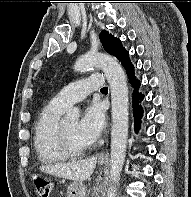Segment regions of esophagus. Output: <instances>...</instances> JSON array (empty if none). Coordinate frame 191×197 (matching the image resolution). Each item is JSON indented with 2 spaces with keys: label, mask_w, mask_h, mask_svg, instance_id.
Listing matches in <instances>:
<instances>
[{
  "label": "esophagus",
  "mask_w": 191,
  "mask_h": 197,
  "mask_svg": "<svg viewBox=\"0 0 191 197\" xmlns=\"http://www.w3.org/2000/svg\"><path fill=\"white\" fill-rule=\"evenodd\" d=\"M98 159H99V160H107V159H108V154H107V152H106V151L101 152V153L99 154V156H98Z\"/></svg>",
  "instance_id": "34e87169"
}]
</instances>
